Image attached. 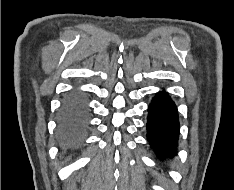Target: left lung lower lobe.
<instances>
[{
    "mask_svg": "<svg viewBox=\"0 0 234 190\" xmlns=\"http://www.w3.org/2000/svg\"><path fill=\"white\" fill-rule=\"evenodd\" d=\"M179 119L175 103L165 91L158 92L148 108L147 140L161 159L177 153Z\"/></svg>",
    "mask_w": 234,
    "mask_h": 190,
    "instance_id": "1",
    "label": "left lung lower lobe"
}]
</instances>
